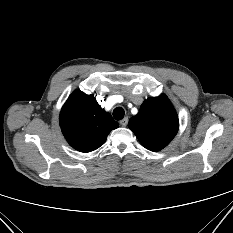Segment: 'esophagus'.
I'll list each match as a JSON object with an SVG mask.
<instances>
[{
  "instance_id": "obj_1",
  "label": "esophagus",
  "mask_w": 233,
  "mask_h": 233,
  "mask_svg": "<svg viewBox=\"0 0 233 233\" xmlns=\"http://www.w3.org/2000/svg\"><path fill=\"white\" fill-rule=\"evenodd\" d=\"M119 123L121 126H126L128 123V117H124Z\"/></svg>"
}]
</instances>
